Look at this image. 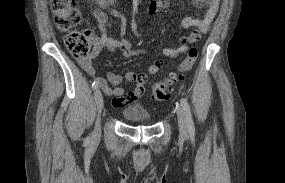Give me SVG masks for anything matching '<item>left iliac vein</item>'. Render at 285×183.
Segmentation results:
<instances>
[{
    "label": "left iliac vein",
    "mask_w": 285,
    "mask_h": 183,
    "mask_svg": "<svg viewBox=\"0 0 285 183\" xmlns=\"http://www.w3.org/2000/svg\"><path fill=\"white\" fill-rule=\"evenodd\" d=\"M176 114H177L180 135L182 137H186L187 136V123H186L185 114L182 108L178 107L176 109Z\"/></svg>",
    "instance_id": "4c4485c4"
}]
</instances>
